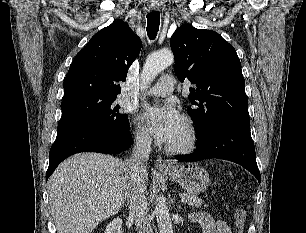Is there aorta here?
<instances>
[{
	"label": "aorta",
	"instance_id": "1",
	"mask_svg": "<svg viewBox=\"0 0 306 233\" xmlns=\"http://www.w3.org/2000/svg\"><path fill=\"white\" fill-rule=\"evenodd\" d=\"M174 62L173 53L170 50H162L148 56L141 73L143 88L155 79V77ZM155 214L160 233H173L172 222L164 196L156 199Z\"/></svg>",
	"mask_w": 306,
	"mask_h": 233
}]
</instances>
